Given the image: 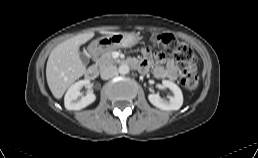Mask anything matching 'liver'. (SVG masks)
Returning a JSON list of instances; mask_svg holds the SVG:
<instances>
[{
    "label": "liver",
    "mask_w": 258,
    "mask_h": 158,
    "mask_svg": "<svg viewBox=\"0 0 258 158\" xmlns=\"http://www.w3.org/2000/svg\"><path fill=\"white\" fill-rule=\"evenodd\" d=\"M101 33L113 35L118 32ZM93 36V32L76 35L58 44L51 51L46 66V78L56 99L62 98L67 88L85 73L86 67L80 59L79 47Z\"/></svg>",
    "instance_id": "1"
}]
</instances>
